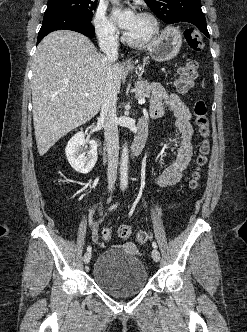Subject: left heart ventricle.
I'll return each mask as SVG.
<instances>
[{
  "instance_id": "b2bd125f",
  "label": "left heart ventricle",
  "mask_w": 247,
  "mask_h": 332,
  "mask_svg": "<svg viewBox=\"0 0 247 332\" xmlns=\"http://www.w3.org/2000/svg\"><path fill=\"white\" fill-rule=\"evenodd\" d=\"M151 29V23L148 19L138 15L133 26L126 34L133 39H140L146 36Z\"/></svg>"
}]
</instances>
